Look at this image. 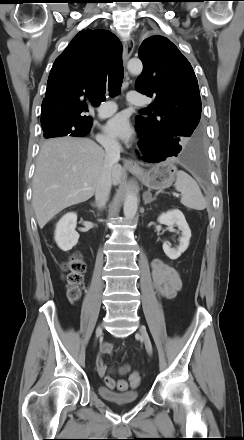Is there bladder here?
<instances>
[{
	"label": "bladder",
	"mask_w": 244,
	"mask_h": 440,
	"mask_svg": "<svg viewBox=\"0 0 244 440\" xmlns=\"http://www.w3.org/2000/svg\"><path fill=\"white\" fill-rule=\"evenodd\" d=\"M98 393L102 399L114 404H130L137 402L139 399L137 390L116 392L105 386H99Z\"/></svg>",
	"instance_id": "obj_1"
}]
</instances>
